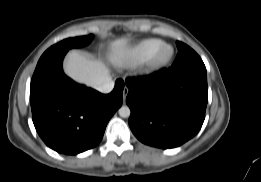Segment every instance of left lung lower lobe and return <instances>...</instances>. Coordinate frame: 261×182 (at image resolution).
Here are the masks:
<instances>
[{"instance_id":"1","label":"left lung lower lobe","mask_w":261,"mask_h":182,"mask_svg":"<svg viewBox=\"0 0 261 182\" xmlns=\"http://www.w3.org/2000/svg\"><path fill=\"white\" fill-rule=\"evenodd\" d=\"M126 85L129 125L142 143L174 148L200 130L208 102L205 67L162 69L127 79Z\"/></svg>"}]
</instances>
